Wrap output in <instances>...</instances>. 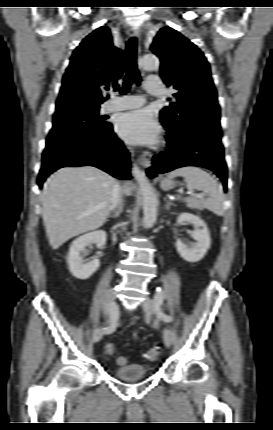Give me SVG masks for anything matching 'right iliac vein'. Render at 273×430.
<instances>
[{"mask_svg":"<svg viewBox=\"0 0 273 430\" xmlns=\"http://www.w3.org/2000/svg\"><path fill=\"white\" fill-rule=\"evenodd\" d=\"M114 299H115L114 291L111 289L108 291L107 297H106V316H107L106 322L109 324L112 322L113 315L115 313H118V306L115 303ZM102 335H103V328L96 329L93 333L92 341L94 343L98 342L102 338Z\"/></svg>","mask_w":273,"mask_h":430,"instance_id":"right-iliac-vein-1","label":"right iliac vein"}]
</instances>
